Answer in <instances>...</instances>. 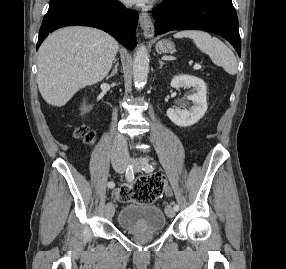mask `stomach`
I'll list each match as a JSON object with an SVG mask.
<instances>
[{"label": "stomach", "mask_w": 286, "mask_h": 269, "mask_svg": "<svg viewBox=\"0 0 286 269\" xmlns=\"http://www.w3.org/2000/svg\"><path fill=\"white\" fill-rule=\"evenodd\" d=\"M156 49L163 53H169L173 51L174 44L169 41H160L156 44Z\"/></svg>", "instance_id": "0dacf381"}]
</instances>
